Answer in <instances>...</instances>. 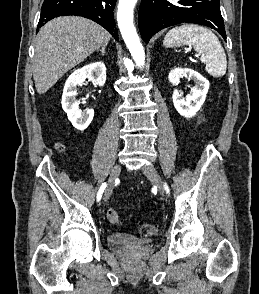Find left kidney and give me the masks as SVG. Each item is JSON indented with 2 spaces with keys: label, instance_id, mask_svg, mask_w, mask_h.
<instances>
[{
  "label": "left kidney",
  "instance_id": "1",
  "mask_svg": "<svg viewBox=\"0 0 259 294\" xmlns=\"http://www.w3.org/2000/svg\"><path fill=\"white\" fill-rule=\"evenodd\" d=\"M181 77L193 79L195 86L191 88V92L186 98H183L178 90L175 89L172 96L173 104L180 115L186 118H192L201 109L206 99L209 81L198 72L189 68H175L168 75L169 82L174 86L179 84Z\"/></svg>",
  "mask_w": 259,
  "mask_h": 294
}]
</instances>
